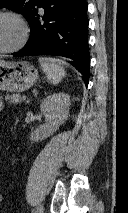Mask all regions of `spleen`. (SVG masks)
Wrapping results in <instances>:
<instances>
[{
  "label": "spleen",
  "mask_w": 128,
  "mask_h": 213,
  "mask_svg": "<svg viewBox=\"0 0 128 213\" xmlns=\"http://www.w3.org/2000/svg\"><path fill=\"white\" fill-rule=\"evenodd\" d=\"M39 62L42 71L53 85H57L61 82L65 76V69L62 66L61 60L55 58H40Z\"/></svg>",
  "instance_id": "1"
}]
</instances>
